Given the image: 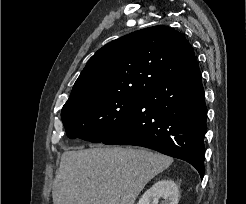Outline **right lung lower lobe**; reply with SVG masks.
<instances>
[{
	"label": "right lung lower lobe",
	"instance_id": "right-lung-lower-lobe-1",
	"mask_svg": "<svg viewBox=\"0 0 246 204\" xmlns=\"http://www.w3.org/2000/svg\"><path fill=\"white\" fill-rule=\"evenodd\" d=\"M206 117L201 72L196 61L140 94L124 123L102 143L154 149L187 161L203 178Z\"/></svg>",
	"mask_w": 246,
	"mask_h": 204
}]
</instances>
